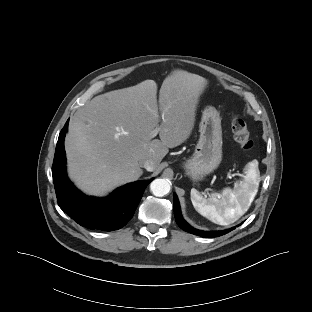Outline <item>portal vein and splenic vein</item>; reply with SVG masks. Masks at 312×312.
Instances as JSON below:
<instances>
[{"label": "portal vein and splenic vein", "instance_id": "18ae733b", "mask_svg": "<svg viewBox=\"0 0 312 312\" xmlns=\"http://www.w3.org/2000/svg\"><path fill=\"white\" fill-rule=\"evenodd\" d=\"M158 132H159V128H155L150 134L151 138H154L155 136H157Z\"/></svg>", "mask_w": 312, "mask_h": 312}]
</instances>
